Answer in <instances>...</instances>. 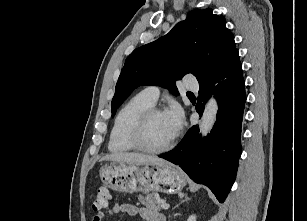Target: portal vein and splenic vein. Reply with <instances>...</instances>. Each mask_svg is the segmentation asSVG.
Returning <instances> with one entry per match:
<instances>
[{
	"label": "portal vein and splenic vein",
	"instance_id": "obj_1",
	"mask_svg": "<svg viewBox=\"0 0 307 221\" xmlns=\"http://www.w3.org/2000/svg\"><path fill=\"white\" fill-rule=\"evenodd\" d=\"M161 208L167 210L169 208V204L162 202Z\"/></svg>",
	"mask_w": 307,
	"mask_h": 221
}]
</instances>
